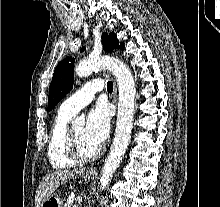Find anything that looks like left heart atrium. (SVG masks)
Here are the masks:
<instances>
[{
  "label": "left heart atrium",
  "mask_w": 220,
  "mask_h": 207,
  "mask_svg": "<svg viewBox=\"0 0 220 207\" xmlns=\"http://www.w3.org/2000/svg\"><path fill=\"white\" fill-rule=\"evenodd\" d=\"M110 131V116L104 104H97L87 115L86 137L98 148L107 139Z\"/></svg>",
  "instance_id": "39dd6f15"
}]
</instances>
